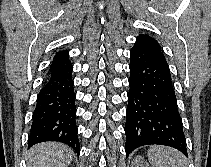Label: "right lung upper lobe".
Listing matches in <instances>:
<instances>
[{
	"label": "right lung upper lobe",
	"instance_id": "obj_1",
	"mask_svg": "<svg viewBox=\"0 0 211 167\" xmlns=\"http://www.w3.org/2000/svg\"><path fill=\"white\" fill-rule=\"evenodd\" d=\"M67 55H68V51H66V50L65 51H59L54 56V59L61 58V57L67 56Z\"/></svg>",
	"mask_w": 211,
	"mask_h": 167
}]
</instances>
